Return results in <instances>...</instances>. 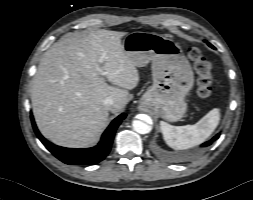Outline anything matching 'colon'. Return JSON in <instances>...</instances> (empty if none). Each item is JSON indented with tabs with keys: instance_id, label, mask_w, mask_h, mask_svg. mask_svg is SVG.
<instances>
[{
	"instance_id": "obj_1",
	"label": "colon",
	"mask_w": 253,
	"mask_h": 200,
	"mask_svg": "<svg viewBox=\"0 0 253 200\" xmlns=\"http://www.w3.org/2000/svg\"><path fill=\"white\" fill-rule=\"evenodd\" d=\"M188 56L198 74V95L205 101L211 96L213 90L214 78L212 75V63L203 55L202 51L196 47H191L188 50Z\"/></svg>"
}]
</instances>
